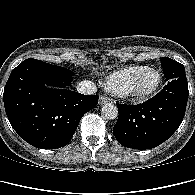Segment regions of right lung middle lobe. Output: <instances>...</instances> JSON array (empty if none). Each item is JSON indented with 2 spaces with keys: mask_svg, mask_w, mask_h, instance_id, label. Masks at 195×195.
Instances as JSON below:
<instances>
[{
  "mask_svg": "<svg viewBox=\"0 0 195 195\" xmlns=\"http://www.w3.org/2000/svg\"><path fill=\"white\" fill-rule=\"evenodd\" d=\"M22 63L24 64H33L42 70L46 71L48 74H50L55 79V85L58 87H66L70 84V82L73 79L74 73L61 66L52 65L46 62H43L41 60L36 59H26Z\"/></svg>",
  "mask_w": 195,
  "mask_h": 195,
  "instance_id": "obj_1",
  "label": "right lung middle lobe"
}]
</instances>
